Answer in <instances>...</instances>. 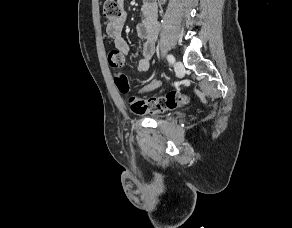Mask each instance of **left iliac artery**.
<instances>
[{
    "label": "left iliac artery",
    "instance_id": "44dca946",
    "mask_svg": "<svg viewBox=\"0 0 292 228\" xmlns=\"http://www.w3.org/2000/svg\"><path fill=\"white\" fill-rule=\"evenodd\" d=\"M167 60L169 61V63L173 64L175 62V58L173 55L168 54L167 55Z\"/></svg>",
    "mask_w": 292,
    "mask_h": 228
}]
</instances>
